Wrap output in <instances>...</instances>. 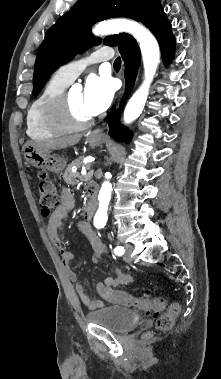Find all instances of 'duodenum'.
I'll return each instance as SVG.
<instances>
[{"instance_id": "410a0bca", "label": "duodenum", "mask_w": 221, "mask_h": 379, "mask_svg": "<svg viewBox=\"0 0 221 379\" xmlns=\"http://www.w3.org/2000/svg\"><path fill=\"white\" fill-rule=\"evenodd\" d=\"M89 201L85 209L86 218H91L97 208V188L94 184H89L87 187Z\"/></svg>"}]
</instances>
